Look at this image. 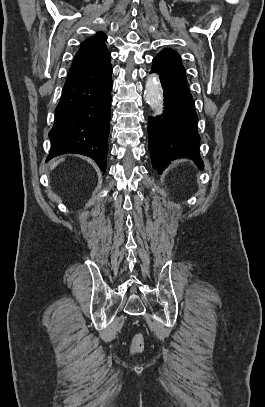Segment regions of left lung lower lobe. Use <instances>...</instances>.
<instances>
[{"mask_svg": "<svg viewBox=\"0 0 265 407\" xmlns=\"http://www.w3.org/2000/svg\"><path fill=\"white\" fill-rule=\"evenodd\" d=\"M151 72L160 76L164 90V112L148 118L149 151L153 167L161 173L177 158H190L202 169L200 136L194 100L187 88L186 76L153 59Z\"/></svg>", "mask_w": 265, "mask_h": 407, "instance_id": "obj_1", "label": "left lung lower lobe"}]
</instances>
